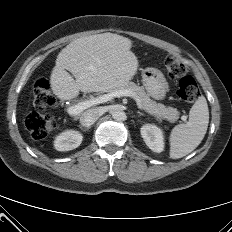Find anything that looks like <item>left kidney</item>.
Listing matches in <instances>:
<instances>
[{
	"label": "left kidney",
	"instance_id": "obj_1",
	"mask_svg": "<svg viewBox=\"0 0 232 232\" xmlns=\"http://www.w3.org/2000/svg\"><path fill=\"white\" fill-rule=\"evenodd\" d=\"M140 132L146 145L153 152L160 153L164 150V136L161 128L153 124H146L142 126Z\"/></svg>",
	"mask_w": 232,
	"mask_h": 232
}]
</instances>
